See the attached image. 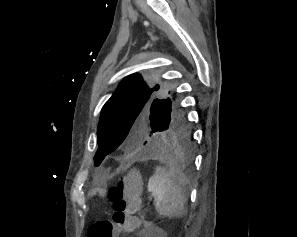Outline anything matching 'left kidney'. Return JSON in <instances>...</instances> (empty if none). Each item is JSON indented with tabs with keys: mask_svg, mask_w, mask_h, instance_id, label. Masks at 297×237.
I'll list each match as a JSON object with an SVG mask.
<instances>
[{
	"mask_svg": "<svg viewBox=\"0 0 297 237\" xmlns=\"http://www.w3.org/2000/svg\"><path fill=\"white\" fill-rule=\"evenodd\" d=\"M161 234H162V237H164V236H163V232H161Z\"/></svg>",
	"mask_w": 297,
	"mask_h": 237,
	"instance_id": "left-kidney-1",
	"label": "left kidney"
}]
</instances>
